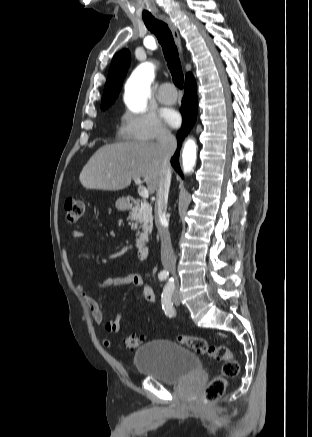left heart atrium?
I'll return each mask as SVG.
<instances>
[{"mask_svg": "<svg viewBox=\"0 0 312 437\" xmlns=\"http://www.w3.org/2000/svg\"><path fill=\"white\" fill-rule=\"evenodd\" d=\"M164 120L172 127H176L180 123V115L173 109H168L163 114Z\"/></svg>", "mask_w": 312, "mask_h": 437, "instance_id": "39dd6f15", "label": "left heart atrium"}]
</instances>
